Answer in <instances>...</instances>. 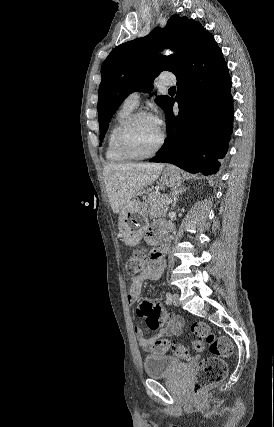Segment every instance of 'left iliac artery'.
I'll return each mask as SVG.
<instances>
[{
    "mask_svg": "<svg viewBox=\"0 0 274 427\" xmlns=\"http://www.w3.org/2000/svg\"><path fill=\"white\" fill-rule=\"evenodd\" d=\"M166 299H167V302H168V303H171V302H172V295H171V293H170V292H167V293H166Z\"/></svg>",
    "mask_w": 274,
    "mask_h": 427,
    "instance_id": "44dca946",
    "label": "left iliac artery"
}]
</instances>
